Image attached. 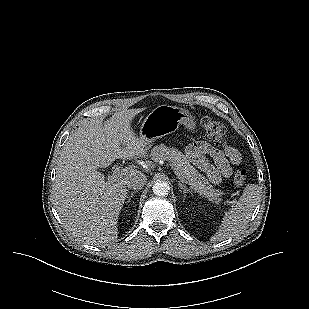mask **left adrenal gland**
<instances>
[{"instance_id": "a2214340", "label": "left adrenal gland", "mask_w": 309, "mask_h": 309, "mask_svg": "<svg viewBox=\"0 0 309 309\" xmlns=\"http://www.w3.org/2000/svg\"><path fill=\"white\" fill-rule=\"evenodd\" d=\"M179 187L183 190L184 196H186V193L190 192V190L181 182H178Z\"/></svg>"}]
</instances>
